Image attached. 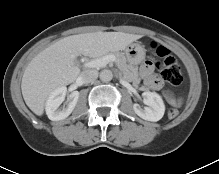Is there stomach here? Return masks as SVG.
Listing matches in <instances>:
<instances>
[{
	"label": "stomach",
	"mask_w": 219,
	"mask_h": 174,
	"mask_svg": "<svg viewBox=\"0 0 219 174\" xmlns=\"http://www.w3.org/2000/svg\"><path fill=\"white\" fill-rule=\"evenodd\" d=\"M146 50L139 43H132L125 49V56L130 64H139L145 58Z\"/></svg>",
	"instance_id": "stomach-1"
}]
</instances>
